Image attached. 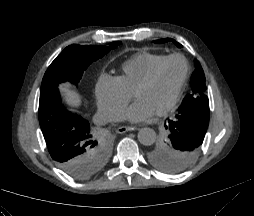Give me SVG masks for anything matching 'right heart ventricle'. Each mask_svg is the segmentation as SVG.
<instances>
[{
	"mask_svg": "<svg viewBox=\"0 0 254 216\" xmlns=\"http://www.w3.org/2000/svg\"><path fill=\"white\" fill-rule=\"evenodd\" d=\"M166 55L161 53L142 51L121 66V74L117 76L123 86L133 93L137 86L148 76L154 66Z\"/></svg>",
	"mask_w": 254,
	"mask_h": 216,
	"instance_id": "right-heart-ventricle-1",
	"label": "right heart ventricle"
}]
</instances>
